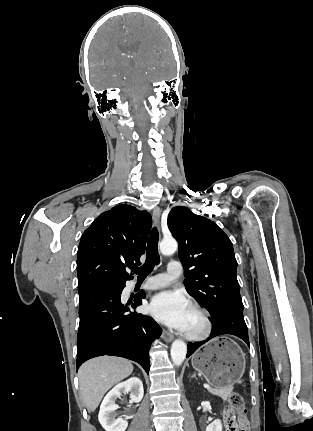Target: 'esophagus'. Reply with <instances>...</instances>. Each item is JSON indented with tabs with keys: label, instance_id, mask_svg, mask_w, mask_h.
Returning a JSON list of instances; mask_svg holds the SVG:
<instances>
[{
	"label": "esophagus",
	"instance_id": "1",
	"mask_svg": "<svg viewBox=\"0 0 313 431\" xmlns=\"http://www.w3.org/2000/svg\"><path fill=\"white\" fill-rule=\"evenodd\" d=\"M161 216V210L159 207L154 208L152 217L156 225H159ZM162 337L165 342H171L174 339V336L166 330H163Z\"/></svg>",
	"mask_w": 313,
	"mask_h": 431
}]
</instances>
